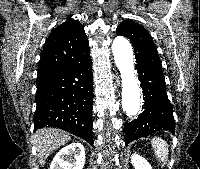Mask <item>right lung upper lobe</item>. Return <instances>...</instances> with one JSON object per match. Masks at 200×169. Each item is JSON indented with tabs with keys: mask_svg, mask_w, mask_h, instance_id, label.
Wrapping results in <instances>:
<instances>
[{
	"mask_svg": "<svg viewBox=\"0 0 200 169\" xmlns=\"http://www.w3.org/2000/svg\"><path fill=\"white\" fill-rule=\"evenodd\" d=\"M89 53V42L81 23L69 18L52 30L38 66L44 75L71 66Z\"/></svg>",
	"mask_w": 200,
	"mask_h": 169,
	"instance_id": "right-lung-upper-lobe-1",
	"label": "right lung upper lobe"
}]
</instances>
